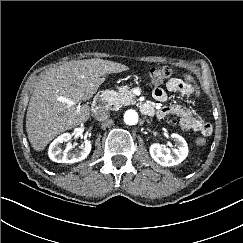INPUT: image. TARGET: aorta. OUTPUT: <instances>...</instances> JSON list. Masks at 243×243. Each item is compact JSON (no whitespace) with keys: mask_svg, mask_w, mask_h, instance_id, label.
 Listing matches in <instances>:
<instances>
[{"mask_svg":"<svg viewBox=\"0 0 243 243\" xmlns=\"http://www.w3.org/2000/svg\"><path fill=\"white\" fill-rule=\"evenodd\" d=\"M124 122L127 125H135L138 123V114L135 110L129 109L124 113Z\"/></svg>","mask_w":243,"mask_h":243,"instance_id":"obj_1","label":"aorta"}]
</instances>
